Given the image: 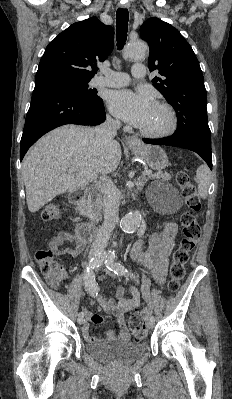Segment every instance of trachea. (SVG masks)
I'll return each instance as SVG.
<instances>
[{
    "instance_id": "1",
    "label": "trachea",
    "mask_w": 232,
    "mask_h": 399,
    "mask_svg": "<svg viewBox=\"0 0 232 399\" xmlns=\"http://www.w3.org/2000/svg\"><path fill=\"white\" fill-rule=\"evenodd\" d=\"M128 10L126 8H118L116 13V31H117V47L122 50L125 45L128 31Z\"/></svg>"
}]
</instances>
